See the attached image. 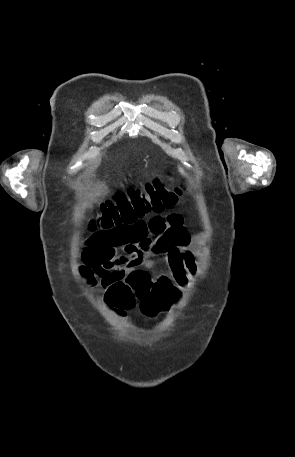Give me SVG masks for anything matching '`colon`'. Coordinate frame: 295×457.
Here are the masks:
<instances>
[{
    "instance_id": "obj_1",
    "label": "colon",
    "mask_w": 295,
    "mask_h": 457,
    "mask_svg": "<svg viewBox=\"0 0 295 457\" xmlns=\"http://www.w3.org/2000/svg\"><path fill=\"white\" fill-rule=\"evenodd\" d=\"M179 194V188L168 189L163 180L155 178L142 187H131L116 193L100 205L89 225L91 228L102 229L132 225L151 212L159 213L172 208ZM138 252L136 247L130 246L118 258L111 254L104 260L93 263L92 267L81 266L80 272L89 282H93L96 277L104 282L107 286V303L119 314L132 308L138 299L142 311L152 317L168 307L175 290L168 279L153 284L146 280L143 285L136 287L135 292L125 284L126 269L136 262L134 256Z\"/></svg>"
}]
</instances>
